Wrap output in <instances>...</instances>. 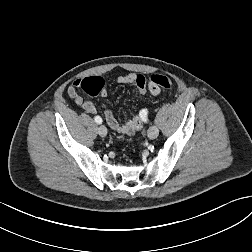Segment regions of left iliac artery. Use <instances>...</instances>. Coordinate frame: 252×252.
<instances>
[{
  "mask_svg": "<svg viewBox=\"0 0 252 252\" xmlns=\"http://www.w3.org/2000/svg\"><path fill=\"white\" fill-rule=\"evenodd\" d=\"M139 118L141 120L142 125H144V126L150 125L151 120H150L149 115H148L146 110H141L140 111Z\"/></svg>",
  "mask_w": 252,
  "mask_h": 252,
  "instance_id": "obj_1",
  "label": "left iliac artery"
}]
</instances>
